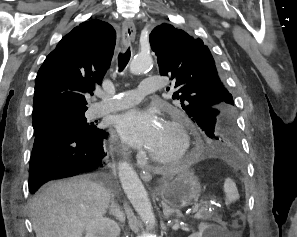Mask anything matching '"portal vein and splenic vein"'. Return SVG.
Segmentation results:
<instances>
[{
  "label": "portal vein and splenic vein",
  "instance_id": "1",
  "mask_svg": "<svg viewBox=\"0 0 297 237\" xmlns=\"http://www.w3.org/2000/svg\"><path fill=\"white\" fill-rule=\"evenodd\" d=\"M198 208H199V205L198 204L195 205L194 208H193V212H196L198 210Z\"/></svg>",
  "mask_w": 297,
  "mask_h": 237
}]
</instances>
